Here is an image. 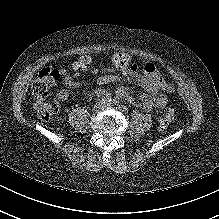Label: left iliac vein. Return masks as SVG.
<instances>
[{
    "label": "left iliac vein",
    "instance_id": "obj_1",
    "mask_svg": "<svg viewBox=\"0 0 219 219\" xmlns=\"http://www.w3.org/2000/svg\"><path fill=\"white\" fill-rule=\"evenodd\" d=\"M106 107H111V104H105Z\"/></svg>",
    "mask_w": 219,
    "mask_h": 219
}]
</instances>
